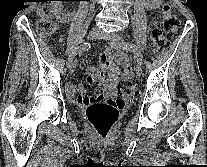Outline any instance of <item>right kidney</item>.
Returning a JSON list of instances; mask_svg holds the SVG:
<instances>
[{
  "label": "right kidney",
  "instance_id": "ca27d5eb",
  "mask_svg": "<svg viewBox=\"0 0 207 167\" xmlns=\"http://www.w3.org/2000/svg\"><path fill=\"white\" fill-rule=\"evenodd\" d=\"M54 14L61 22H68L71 20V14H62V1H54Z\"/></svg>",
  "mask_w": 207,
  "mask_h": 167
}]
</instances>
